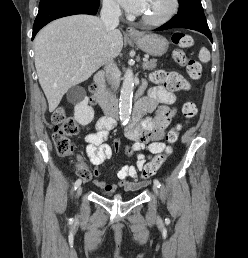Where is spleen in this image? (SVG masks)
Wrapping results in <instances>:
<instances>
[{"mask_svg": "<svg viewBox=\"0 0 248 258\" xmlns=\"http://www.w3.org/2000/svg\"><path fill=\"white\" fill-rule=\"evenodd\" d=\"M199 60L202 62V63H208L210 61V52L207 48L205 47H202L199 51Z\"/></svg>", "mask_w": 248, "mask_h": 258, "instance_id": "3e777b00", "label": "spleen"}]
</instances>
